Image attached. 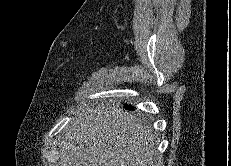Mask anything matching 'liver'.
<instances>
[{
	"label": "liver",
	"instance_id": "1",
	"mask_svg": "<svg viewBox=\"0 0 231 166\" xmlns=\"http://www.w3.org/2000/svg\"><path fill=\"white\" fill-rule=\"evenodd\" d=\"M152 131L117 107H88L65 127L60 166H154Z\"/></svg>",
	"mask_w": 231,
	"mask_h": 166
}]
</instances>
